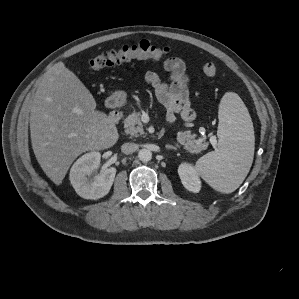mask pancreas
Returning <instances> with one entry per match:
<instances>
[{
	"label": "pancreas",
	"instance_id": "cf45deb5",
	"mask_svg": "<svg viewBox=\"0 0 299 299\" xmlns=\"http://www.w3.org/2000/svg\"><path fill=\"white\" fill-rule=\"evenodd\" d=\"M139 112H133L124 120L125 132L131 136L139 137L144 134L143 124L140 119ZM196 134H192L190 130L180 131L177 133V142L191 153H199L208 147L206 137L196 139Z\"/></svg>",
	"mask_w": 299,
	"mask_h": 299
}]
</instances>
